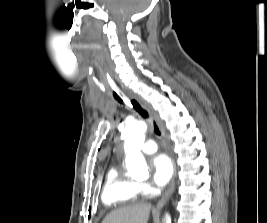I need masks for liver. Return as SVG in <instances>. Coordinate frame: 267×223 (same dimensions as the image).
<instances>
[{
    "label": "liver",
    "mask_w": 267,
    "mask_h": 223,
    "mask_svg": "<svg viewBox=\"0 0 267 223\" xmlns=\"http://www.w3.org/2000/svg\"><path fill=\"white\" fill-rule=\"evenodd\" d=\"M151 205L138 203L111 211L102 223H147Z\"/></svg>",
    "instance_id": "liver-1"
}]
</instances>
